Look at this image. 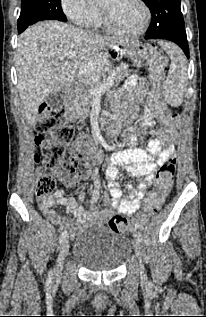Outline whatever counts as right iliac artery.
<instances>
[{
  "mask_svg": "<svg viewBox=\"0 0 206 317\" xmlns=\"http://www.w3.org/2000/svg\"><path fill=\"white\" fill-rule=\"evenodd\" d=\"M67 235H68L67 231L62 232V234H61V236L59 238V242L62 243L66 239ZM52 280H53V271L50 270V272L48 274V277H47V283L51 284Z\"/></svg>",
  "mask_w": 206,
  "mask_h": 317,
  "instance_id": "82829eb1",
  "label": "right iliac artery"
}]
</instances>
